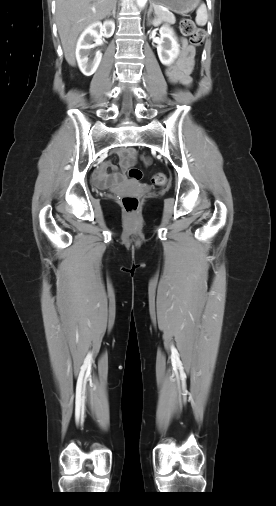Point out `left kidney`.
<instances>
[{
  "label": "left kidney",
  "instance_id": "left-kidney-1",
  "mask_svg": "<svg viewBox=\"0 0 276 506\" xmlns=\"http://www.w3.org/2000/svg\"><path fill=\"white\" fill-rule=\"evenodd\" d=\"M159 24L158 20L155 19L153 21L154 26H158ZM157 53L161 63L164 65L172 64L179 54L177 38L174 35L173 29L168 26L160 28V41L158 42Z\"/></svg>",
  "mask_w": 276,
  "mask_h": 506
}]
</instances>
